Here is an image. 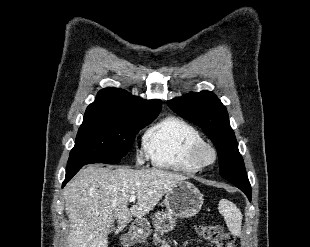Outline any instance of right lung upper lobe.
<instances>
[{
	"label": "right lung upper lobe",
	"mask_w": 310,
	"mask_h": 247,
	"mask_svg": "<svg viewBox=\"0 0 310 247\" xmlns=\"http://www.w3.org/2000/svg\"><path fill=\"white\" fill-rule=\"evenodd\" d=\"M161 106L160 100H144L122 89L106 88L97 94L95 101L87 107L85 115L143 119L157 116Z\"/></svg>",
	"instance_id": "right-lung-upper-lobe-1"
}]
</instances>
